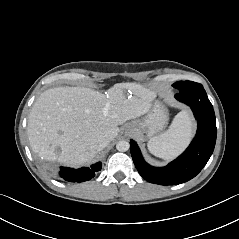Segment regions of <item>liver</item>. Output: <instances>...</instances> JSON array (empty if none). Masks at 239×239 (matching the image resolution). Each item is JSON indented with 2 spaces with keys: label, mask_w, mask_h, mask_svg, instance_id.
<instances>
[{
  "label": "liver",
  "mask_w": 239,
  "mask_h": 239,
  "mask_svg": "<svg viewBox=\"0 0 239 239\" xmlns=\"http://www.w3.org/2000/svg\"><path fill=\"white\" fill-rule=\"evenodd\" d=\"M155 97L154 91L137 83H117L107 94L86 87L48 89L28 117L30 146L46 161L89 163L100 152V140H114L118 126L149 112Z\"/></svg>",
  "instance_id": "liver-1"
}]
</instances>
